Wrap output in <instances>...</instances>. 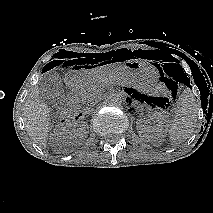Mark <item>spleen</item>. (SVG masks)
Here are the masks:
<instances>
[{
  "label": "spleen",
  "mask_w": 213,
  "mask_h": 213,
  "mask_svg": "<svg viewBox=\"0 0 213 213\" xmlns=\"http://www.w3.org/2000/svg\"><path fill=\"white\" fill-rule=\"evenodd\" d=\"M199 108L200 103L191 90H184L178 99L177 111L168 131L172 145L184 142L194 132Z\"/></svg>",
  "instance_id": "3e777b00"
}]
</instances>
